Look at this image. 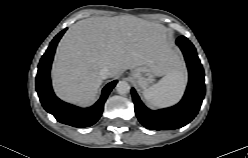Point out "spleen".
Listing matches in <instances>:
<instances>
[{
	"label": "spleen",
	"instance_id": "1",
	"mask_svg": "<svg viewBox=\"0 0 248 158\" xmlns=\"http://www.w3.org/2000/svg\"><path fill=\"white\" fill-rule=\"evenodd\" d=\"M187 82L186 71L177 65L168 72L158 83L143 91L146 102L157 108L168 107L179 101Z\"/></svg>",
	"mask_w": 248,
	"mask_h": 158
}]
</instances>
